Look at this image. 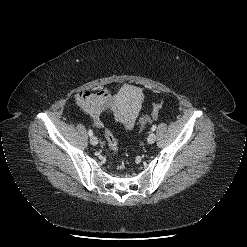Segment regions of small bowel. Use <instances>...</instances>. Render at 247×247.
<instances>
[{"label":"small bowel","mask_w":247,"mask_h":247,"mask_svg":"<svg viewBox=\"0 0 247 247\" xmlns=\"http://www.w3.org/2000/svg\"><path fill=\"white\" fill-rule=\"evenodd\" d=\"M75 102L98 125L100 112L112 102V94L105 88L79 92Z\"/></svg>","instance_id":"small-bowel-1"}]
</instances>
